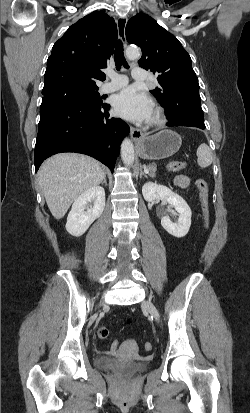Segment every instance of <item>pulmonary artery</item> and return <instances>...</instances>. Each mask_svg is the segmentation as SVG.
Masks as SVG:
<instances>
[{
  "instance_id": "1",
  "label": "pulmonary artery",
  "mask_w": 250,
  "mask_h": 413,
  "mask_svg": "<svg viewBox=\"0 0 250 413\" xmlns=\"http://www.w3.org/2000/svg\"><path fill=\"white\" fill-rule=\"evenodd\" d=\"M109 81L101 86V92L109 93L125 87L128 79L125 75L108 72ZM132 77L135 80H145V71L142 68L136 67L132 71Z\"/></svg>"
}]
</instances>
